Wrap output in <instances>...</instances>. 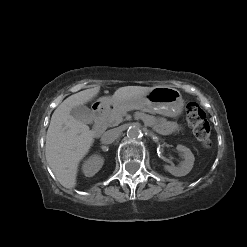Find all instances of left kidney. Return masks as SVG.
I'll list each match as a JSON object with an SVG mask.
<instances>
[{
    "label": "left kidney",
    "instance_id": "left-kidney-1",
    "mask_svg": "<svg viewBox=\"0 0 247 247\" xmlns=\"http://www.w3.org/2000/svg\"><path fill=\"white\" fill-rule=\"evenodd\" d=\"M176 149L181 152L184 161L181 162L180 166L164 165V169L174 176L181 177L187 175L194 165V155L191 150L183 145H177Z\"/></svg>",
    "mask_w": 247,
    "mask_h": 247
}]
</instances>
